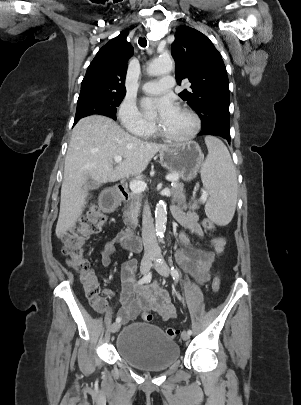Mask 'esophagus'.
<instances>
[{"label":"esophagus","mask_w":301,"mask_h":405,"mask_svg":"<svg viewBox=\"0 0 301 405\" xmlns=\"http://www.w3.org/2000/svg\"><path fill=\"white\" fill-rule=\"evenodd\" d=\"M152 45H154V46H155V45H156V43H155V42H153V43H152Z\"/></svg>","instance_id":"esophagus-1"}]
</instances>
